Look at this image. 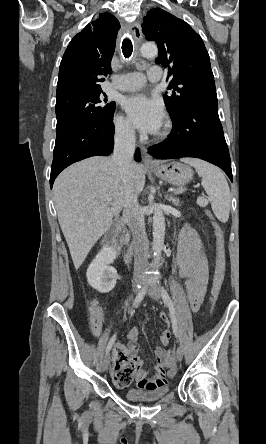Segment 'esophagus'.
I'll return each instance as SVG.
<instances>
[{"label": "esophagus", "instance_id": "esophagus-1", "mask_svg": "<svg viewBox=\"0 0 266 444\" xmlns=\"http://www.w3.org/2000/svg\"><path fill=\"white\" fill-rule=\"evenodd\" d=\"M131 32H132V35L136 41H140L142 39V31H141V26H140L139 22H135L131 26ZM143 164L146 167H157L158 166V163L152 158V156H150L147 153L145 148H143Z\"/></svg>", "mask_w": 266, "mask_h": 444}]
</instances>
